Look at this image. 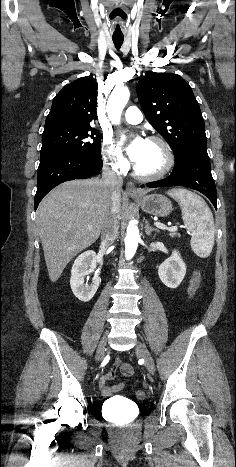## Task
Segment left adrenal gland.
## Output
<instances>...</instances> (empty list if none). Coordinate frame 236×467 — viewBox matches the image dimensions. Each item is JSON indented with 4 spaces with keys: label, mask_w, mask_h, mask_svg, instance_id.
<instances>
[{
    "label": "left adrenal gland",
    "mask_w": 236,
    "mask_h": 467,
    "mask_svg": "<svg viewBox=\"0 0 236 467\" xmlns=\"http://www.w3.org/2000/svg\"><path fill=\"white\" fill-rule=\"evenodd\" d=\"M153 231L158 232V230L156 228H153V227L149 226V222L146 221L145 222V233H146V235L150 236L151 232H153Z\"/></svg>",
    "instance_id": "obj_1"
}]
</instances>
